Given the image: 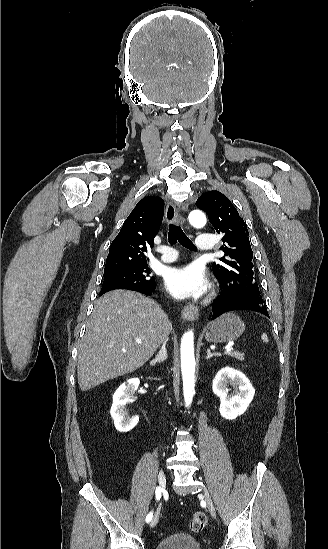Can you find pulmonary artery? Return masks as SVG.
<instances>
[{"instance_id":"e3ab8cb5","label":"pulmonary artery","mask_w":328,"mask_h":549,"mask_svg":"<svg viewBox=\"0 0 328 549\" xmlns=\"http://www.w3.org/2000/svg\"><path fill=\"white\" fill-rule=\"evenodd\" d=\"M196 248H200L203 252H215L218 248L217 243L213 237H196L194 240ZM176 254L168 248L162 249V261L165 263L175 260Z\"/></svg>"}]
</instances>
